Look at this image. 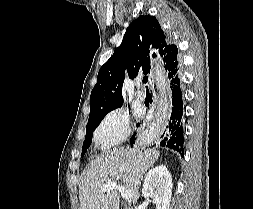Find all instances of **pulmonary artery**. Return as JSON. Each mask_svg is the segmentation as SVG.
<instances>
[{"mask_svg": "<svg viewBox=\"0 0 253 209\" xmlns=\"http://www.w3.org/2000/svg\"><path fill=\"white\" fill-rule=\"evenodd\" d=\"M135 97H136V99H137L138 101H144L146 95H145V93H144L143 91L137 90V91H136V94H135Z\"/></svg>", "mask_w": 253, "mask_h": 209, "instance_id": "obj_1", "label": "pulmonary artery"}]
</instances>
